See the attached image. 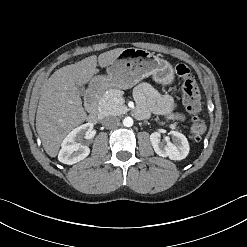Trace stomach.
<instances>
[{
    "mask_svg": "<svg viewBox=\"0 0 247 247\" xmlns=\"http://www.w3.org/2000/svg\"><path fill=\"white\" fill-rule=\"evenodd\" d=\"M107 75L96 76L92 84L107 88L129 89L148 76L163 85L171 84V65L147 50L126 48L107 66Z\"/></svg>",
    "mask_w": 247,
    "mask_h": 247,
    "instance_id": "obj_1",
    "label": "stomach"
}]
</instances>
